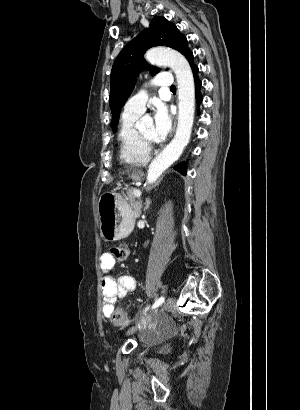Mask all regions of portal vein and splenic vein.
<instances>
[{
	"label": "portal vein and splenic vein",
	"mask_w": 300,
	"mask_h": 410,
	"mask_svg": "<svg viewBox=\"0 0 300 410\" xmlns=\"http://www.w3.org/2000/svg\"><path fill=\"white\" fill-rule=\"evenodd\" d=\"M132 194L136 197H140L141 196V191L140 190H134Z\"/></svg>",
	"instance_id": "obj_1"
}]
</instances>
